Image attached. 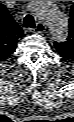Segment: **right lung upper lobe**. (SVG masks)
Wrapping results in <instances>:
<instances>
[{
    "mask_svg": "<svg viewBox=\"0 0 74 122\" xmlns=\"http://www.w3.org/2000/svg\"><path fill=\"white\" fill-rule=\"evenodd\" d=\"M24 36L7 8L0 3V62L8 59L15 51L18 39Z\"/></svg>",
    "mask_w": 74,
    "mask_h": 122,
    "instance_id": "obj_1",
    "label": "right lung upper lobe"
}]
</instances>
